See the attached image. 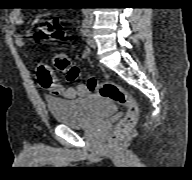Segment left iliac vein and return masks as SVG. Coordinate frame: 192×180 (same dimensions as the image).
Segmentation results:
<instances>
[{
  "instance_id": "obj_1",
  "label": "left iliac vein",
  "mask_w": 192,
  "mask_h": 180,
  "mask_svg": "<svg viewBox=\"0 0 192 180\" xmlns=\"http://www.w3.org/2000/svg\"><path fill=\"white\" fill-rule=\"evenodd\" d=\"M86 42L90 47L96 48V41L91 31L86 34Z\"/></svg>"
}]
</instances>
